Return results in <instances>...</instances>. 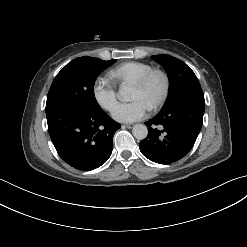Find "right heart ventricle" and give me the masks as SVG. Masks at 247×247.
Returning a JSON list of instances; mask_svg holds the SVG:
<instances>
[{
  "label": "right heart ventricle",
  "mask_w": 247,
  "mask_h": 247,
  "mask_svg": "<svg viewBox=\"0 0 247 247\" xmlns=\"http://www.w3.org/2000/svg\"><path fill=\"white\" fill-rule=\"evenodd\" d=\"M152 69L153 67L150 64L130 61L113 68L110 71V76L118 81L135 82Z\"/></svg>",
  "instance_id": "right-heart-ventricle-1"
}]
</instances>
